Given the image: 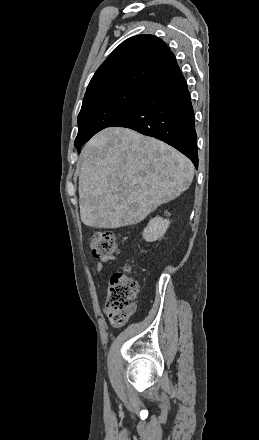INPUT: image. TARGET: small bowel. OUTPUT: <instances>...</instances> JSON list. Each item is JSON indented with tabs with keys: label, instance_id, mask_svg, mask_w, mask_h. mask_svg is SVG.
I'll return each instance as SVG.
<instances>
[{
	"label": "small bowel",
	"instance_id": "small-bowel-1",
	"mask_svg": "<svg viewBox=\"0 0 259 440\" xmlns=\"http://www.w3.org/2000/svg\"><path fill=\"white\" fill-rule=\"evenodd\" d=\"M117 257L115 256H108V257H102L100 261L96 262L92 269L95 272L101 273L104 270V265L111 263L113 260H115Z\"/></svg>",
	"mask_w": 259,
	"mask_h": 440
}]
</instances>
